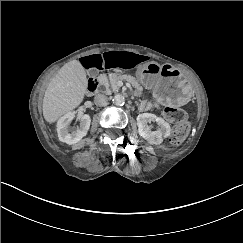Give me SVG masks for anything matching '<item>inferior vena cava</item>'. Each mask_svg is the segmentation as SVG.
Returning <instances> with one entry per match:
<instances>
[{
    "instance_id": "1",
    "label": "inferior vena cava",
    "mask_w": 243,
    "mask_h": 243,
    "mask_svg": "<svg viewBox=\"0 0 243 243\" xmlns=\"http://www.w3.org/2000/svg\"><path fill=\"white\" fill-rule=\"evenodd\" d=\"M108 102L107 96L104 94H97L94 98V103L97 106H106Z\"/></svg>"
}]
</instances>
